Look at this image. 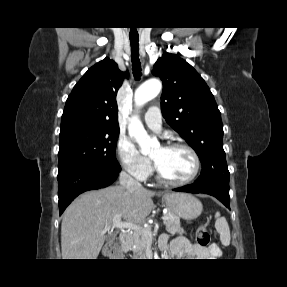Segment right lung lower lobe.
Here are the masks:
<instances>
[{
	"instance_id": "98d812e1",
	"label": "right lung lower lobe",
	"mask_w": 287,
	"mask_h": 287,
	"mask_svg": "<svg viewBox=\"0 0 287 287\" xmlns=\"http://www.w3.org/2000/svg\"><path fill=\"white\" fill-rule=\"evenodd\" d=\"M119 172L91 166H76L58 173V197L60 214L79 194L109 186Z\"/></svg>"
}]
</instances>
